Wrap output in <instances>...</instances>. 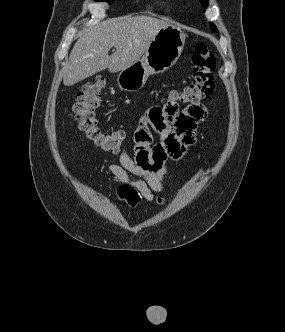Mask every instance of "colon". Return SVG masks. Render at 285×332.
<instances>
[{
	"label": "colon",
	"instance_id": "5ec220e1",
	"mask_svg": "<svg viewBox=\"0 0 285 332\" xmlns=\"http://www.w3.org/2000/svg\"><path fill=\"white\" fill-rule=\"evenodd\" d=\"M215 67L214 54L205 43H197L192 54L190 83L179 91L171 92L168 96H174L179 107L197 105L206 100L214 89ZM104 87L105 82L102 79L84 85L77 94L73 110L78 128L89 141L105 152H117L126 138V132L124 130L104 132L95 114ZM159 106H163V102Z\"/></svg>",
	"mask_w": 285,
	"mask_h": 332
}]
</instances>
